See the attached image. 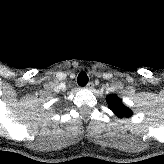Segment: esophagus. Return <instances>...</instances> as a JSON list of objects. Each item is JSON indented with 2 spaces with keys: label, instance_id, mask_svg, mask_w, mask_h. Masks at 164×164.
<instances>
[{
  "label": "esophagus",
  "instance_id": "obj_1",
  "mask_svg": "<svg viewBox=\"0 0 164 164\" xmlns=\"http://www.w3.org/2000/svg\"><path fill=\"white\" fill-rule=\"evenodd\" d=\"M86 88L91 90L94 88V83L93 82H89L87 85H86Z\"/></svg>",
  "mask_w": 164,
  "mask_h": 164
}]
</instances>
